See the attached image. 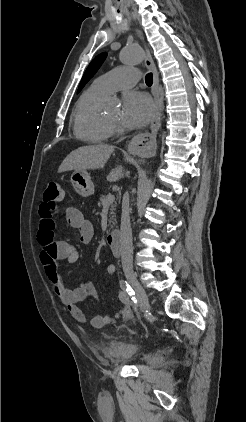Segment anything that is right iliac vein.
I'll return each instance as SVG.
<instances>
[{
    "instance_id": "obj_1",
    "label": "right iliac vein",
    "mask_w": 246,
    "mask_h": 422,
    "mask_svg": "<svg viewBox=\"0 0 246 422\" xmlns=\"http://www.w3.org/2000/svg\"><path fill=\"white\" fill-rule=\"evenodd\" d=\"M127 280L132 285V287L135 289L138 299V305L140 306L141 310H148L150 308L148 296L144 290V288L141 286V284L138 282L135 275L131 272L126 273Z\"/></svg>"
}]
</instances>
